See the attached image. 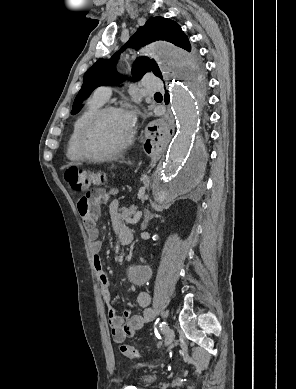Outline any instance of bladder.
<instances>
[{"label":"bladder","mask_w":296,"mask_h":389,"mask_svg":"<svg viewBox=\"0 0 296 389\" xmlns=\"http://www.w3.org/2000/svg\"><path fill=\"white\" fill-rule=\"evenodd\" d=\"M155 380V376L153 375H145L141 378V382L144 385L151 384Z\"/></svg>","instance_id":"1"}]
</instances>
